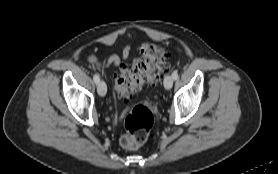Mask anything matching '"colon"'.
I'll return each mask as SVG.
<instances>
[{
    "mask_svg": "<svg viewBox=\"0 0 278 174\" xmlns=\"http://www.w3.org/2000/svg\"><path fill=\"white\" fill-rule=\"evenodd\" d=\"M168 54L152 43H144L140 48V57L131 67H121L115 74L117 91L129 98L149 85L156 84L167 68ZM152 112L144 105L135 106L125 119L126 133L120 144L128 150L141 147L147 140L153 126Z\"/></svg>",
    "mask_w": 278,
    "mask_h": 174,
    "instance_id": "obj_1",
    "label": "colon"
}]
</instances>
